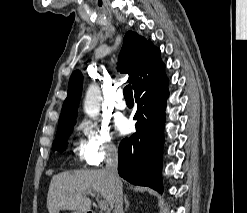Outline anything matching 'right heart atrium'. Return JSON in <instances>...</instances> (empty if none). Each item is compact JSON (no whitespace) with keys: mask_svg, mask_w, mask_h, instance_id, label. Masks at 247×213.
I'll return each instance as SVG.
<instances>
[{"mask_svg":"<svg viewBox=\"0 0 247 213\" xmlns=\"http://www.w3.org/2000/svg\"><path fill=\"white\" fill-rule=\"evenodd\" d=\"M82 139L77 148L78 159L88 166H99L117 154L113 133L105 124L85 121L79 125Z\"/></svg>","mask_w":247,"mask_h":213,"instance_id":"d8ad5b80","label":"right heart atrium"}]
</instances>
